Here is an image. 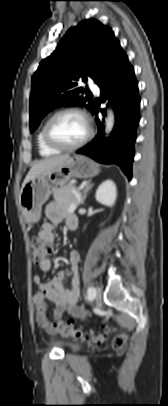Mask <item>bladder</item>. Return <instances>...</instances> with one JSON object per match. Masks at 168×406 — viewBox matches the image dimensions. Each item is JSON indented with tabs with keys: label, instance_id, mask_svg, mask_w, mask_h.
I'll return each instance as SVG.
<instances>
[{
	"label": "bladder",
	"instance_id": "obj_1",
	"mask_svg": "<svg viewBox=\"0 0 168 406\" xmlns=\"http://www.w3.org/2000/svg\"><path fill=\"white\" fill-rule=\"evenodd\" d=\"M70 350H71L72 352H77V351H79V347L73 345V346L70 347Z\"/></svg>",
	"mask_w": 168,
	"mask_h": 406
}]
</instances>
